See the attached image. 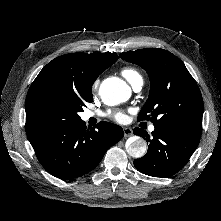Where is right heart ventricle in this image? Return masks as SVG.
I'll list each match as a JSON object with an SVG mask.
<instances>
[{
  "label": "right heart ventricle",
  "mask_w": 221,
  "mask_h": 221,
  "mask_svg": "<svg viewBox=\"0 0 221 221\" xmlns=\"http://www.w3.org/2000/svg\"><path fill=\"white\" fill-rule=\"evenodd\" d=\"M122 75L133 85L139 80H142L141 74L134 68L126 67L121 71Z\"/></svg>",
  "instance_id": "e07e8e85"
}]
</instances>
